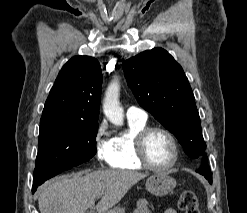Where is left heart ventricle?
I'll return each instance as SVG.
<instances>
[{"label":"left heart ventricle","instance_id":"obj_1","mask_svg":"<svg viewBox=\"0 0 247 213\" xmlns=\"http://www.w3.org/2000/svg\"><path fill=\"white\" fill-rule=\"evenodd\" d=\"M145 153L153 165L163 167L171 162L173 147L169 138L164 133L155 131L146 139Z\"/></svg>","mask_w":247,"mask_h":213}]
</instances>
